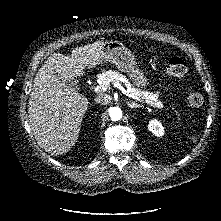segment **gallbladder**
Returning a JSON list of instances; mask_svg holds the SVG:
<instances>
[{"mask_svg":"<svg viewBox=\"0 0 221 221\" xmlns=\"http://www.w3.org/2000/svg\"><path fill=\"white\" fill-rule=\"evenodd\" d=\"M61 82L65 83L67 86H70V87L74 86V84L70 80H67V79H61Z\"/></svg>","mask_w":221,"mask_h":221,"instance_id":"1","label":"gallbladder"}]
</instances>
